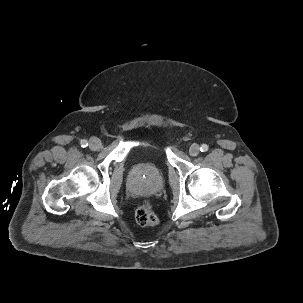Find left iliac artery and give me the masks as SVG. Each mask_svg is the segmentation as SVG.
I'll return each instance as SVG.
<instances>
[{"mask_svg": "<svg viewBox=\"0 0 303 303\" xmlns=\"http://www.w3.org/2000/svg\"><path fill=\"white\" fill-rule=\"evenodd\" d=\"M207 150H208V145L202 144L201 147H200V151L201 152H206Z\"/></svg>", "mask_w": 303, "mask_h": 303, "instance_id": "obj_1", "label": "left iliac artery"}]
</instances>
